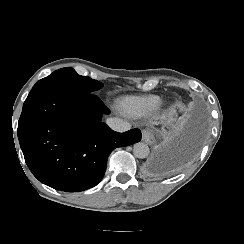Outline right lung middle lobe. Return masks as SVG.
Instances as JSON below:
<instances>
[{
	"label": "right lung middle lobe",
	"mask_w": 244,
	"mask_h": 244,
	"mask_svg": "<svg viewBox=\"0 0 244 244\" xmlns=\"http://www.w3.org/2000/svg\"><path fill=\"white\" fill-rule=\"evenodd\" d=\"M103 84L89 77L80 76L73 68L59 69L48 77L39 80L32 88H69L84 93H93L99 90Z\"/></svg>",
	"instance_id": "obj_1"
}]
</instances>
